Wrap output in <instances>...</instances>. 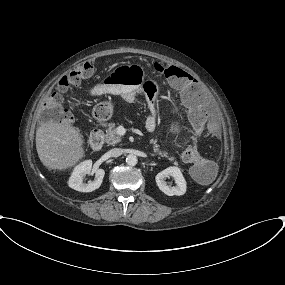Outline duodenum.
Segmentation results:
<instances>
[{"label": "duodenum", "mask_w": 285, "mask_h": 285, "mask_svg": "<svg viewBox=\"0 0 285 285\" xmlns=\"http://www.w3.org/2000/svg\"><path fill=\"white\" fill-rule=\"evenodd\" d=\"M104 131L102 128H94L91 132L90 143L94 150H99L103 144Z\"/></svg>", "instance_id": "obj_1"}]
</instances>
